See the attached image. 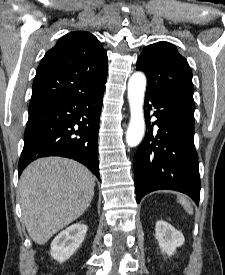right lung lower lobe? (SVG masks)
<instances>
[{"mask_svg": "<svg viewBox=\"0 0 225 275\" xmlns=\"http://www.w3.org/2000/svg\"><path fill=\"white\" fill-rule=\"evenodd\" d=\"M106 78L87 95L63 97L29 107L19 174L46 156L74 159L99 178L98 130Z\"/></svg>", "mask_w": 225, "mask_h": 275, "instance_id": "1", "label": "right lung lower lobe"}]
</instances>
